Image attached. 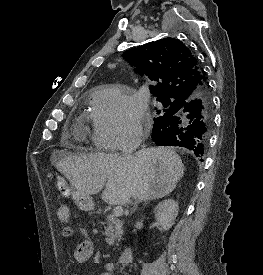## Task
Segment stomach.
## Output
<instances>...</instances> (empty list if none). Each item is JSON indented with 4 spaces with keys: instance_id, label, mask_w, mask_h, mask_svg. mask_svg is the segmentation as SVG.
I'll return each mask as SVG.
<instances>
[{
    "instance_id": "0dacf381",
    "label": "stomach",
    "mask_w": 263,
    "mask_h": 275,
    "mask_svg": "<svg viewBox=\"0 0 263 275\" xmlns=\"http://www.w3.org/2000/svg\"><path fill=\"white\" fill-rule=\"evenodd\" d=\"M55 187L60 195L64 197L71 196L79 209L83 211H93L94 202L92 198L89 195H85L84 193L76 190L72 185H69L63 177L57 176Z\"/></svg>"
}]
</instances>
